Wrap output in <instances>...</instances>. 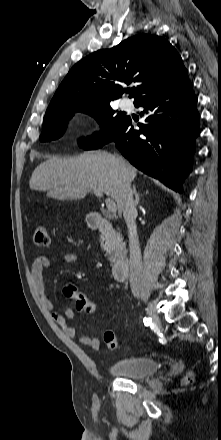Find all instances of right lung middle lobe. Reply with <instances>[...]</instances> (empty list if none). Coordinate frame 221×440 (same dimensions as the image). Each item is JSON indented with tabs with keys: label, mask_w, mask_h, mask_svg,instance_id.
I'll return each instance as SVG.
<instances>
[{
	"label": "right lung middle lobe",
	"mask_w": 221,
	"mask_h": 440,
	"mask_svg": "<svg viewBox=\"0 0 221 440\" xmlns=\"http://www.w3.org/2000/svg\"><path fill=\"white\" fill-rule=\"evenodd\" d=\"M75 112H84L93 116L101 127L100 132L79 141V146L86 150L97 149L106 144L127 119L121 115H115L110 104L97 107L76 104L46 111L40 141L45 142L61 137Z\"/></svg>",
	"instance_id": "obj_1"
}]
</instances>
